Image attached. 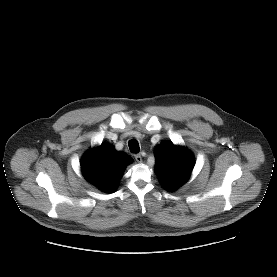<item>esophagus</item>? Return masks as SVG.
<instances>
[{
  "mask_svg": "<svg viewBox=\"0 0 277 277\" xmlns=\"http://www.w3.org/2000/svg\"><path fill=\"white\" fill-rule=\"evenodd\" d=\"M135 160L137 161V162H142V157H141V155L140 154H136L135 155Z\"/></svg>",
  "mask_w": 277,
  "mask_h": 277,
  "instance_id": "obj_1",
  "label": "esophagus"
}]
</instances>
